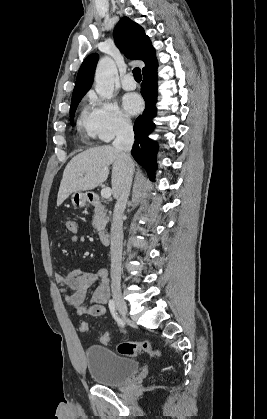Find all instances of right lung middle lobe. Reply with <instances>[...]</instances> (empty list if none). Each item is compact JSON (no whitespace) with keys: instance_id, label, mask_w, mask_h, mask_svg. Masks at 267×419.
<instances>
[{"instance_id":"dd1d6c3e","label":"right lung middle lobe","mask_w":267,"mask_h":419,"mask_svg":"<svg viewBox=\"0 0 267 419\" xmlns=\"http://www.w3.org/2000/svg\"><path fill=\"white\" fill-rule=\"evenodd\" d=\"M82 98H83V96H77V97L72 98L71 107H70L71 124H73L75 111H76L77 106H78V104H79V102L81 101Z\"/></svg>"}]
</instances>
